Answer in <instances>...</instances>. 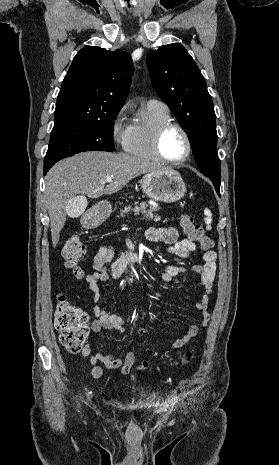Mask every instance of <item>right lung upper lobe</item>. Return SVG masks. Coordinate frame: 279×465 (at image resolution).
<instances>
[{
	"label": "right lung upper lobe",
	"instance_id": "obj_1",
	"mask_svg": "<svg viewBox=\"0 0 279 465\" xmlns=\"http://www.w3.org/2000/svg\"><path fill=\"white\" fill-rule=\"evenodd\" d=\"M133 72L128 53L94 46L81 49L66 74L55 109L54 125L100 118L121 109Z\"/></svg>",
	"mask_w": 279,
	"mask_h": 465
}]
</instances>
